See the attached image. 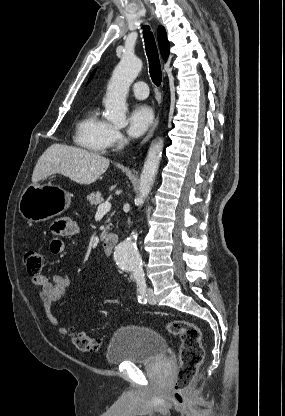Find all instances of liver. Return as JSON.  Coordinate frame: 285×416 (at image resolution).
I'll use <instances>...</instances> for the list:
<instances>
[{
	"mask_svg": "<svg viewBox=\"0 0 285 416\" xmlns=\"http://www.w3.org/2000/svg\"><path fill=\"white\" fill-rule=\"evenodd\" d=\"M108 168L109 160L101 154H93L83 148L52 144L39 158L32 174V184H37L47 176L62 174L77 184L89 186Z\"/></svg>",
	"mask_w": 285,
	"mask_h": 416,
	"instance_id": "6515ba94",
	"label": "liver"
}]
</instances>
